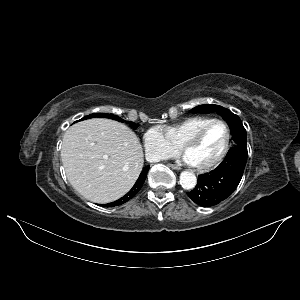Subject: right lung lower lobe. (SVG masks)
<instances>
[{
  "label": "right lung lower lobe",
  "instance_id": "98d812e1",
  "mask_svg": "<svg viewBox=\"0 0 300 300\" xmlns=\"http://www.w3.org/2000/svg\"><path fill=\"white\" fill-rule=\"evenodd\" d=\"M148 169H149V166H145L143 168V171L141 172L138 180L136 181V183L134 184L132 189L125 196H123L122 198H120L117 201H114V202L109 203V204H105L103 206L113 207V206L121 205V204L127 202L128 200H130L131 198H133L139 192V190L141 189V187H142V185H143V183L146 179Z\"/></svg>",
  "mask_w": 300,
  "mask_h": 300
}]
</instances>
